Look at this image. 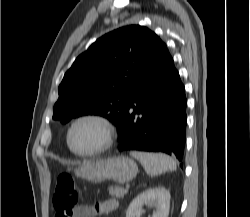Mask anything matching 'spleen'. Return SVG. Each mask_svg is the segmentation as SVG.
<instances>
[{
  "label": "spleen",
  "mask_w": 250,
  "mask_h": 217,
  "mask_svg": "<svg viewBox=\"0 0 250 217\" xmlns=\"http://www.w3.org/2000/svg\"><path fill=\"white\" fill-rule=\"evenodd\" d=\"M130 155L141 162L145 171L151 175H158L177 168L176 161L166 154L132 151Z\"/></svg>",
  "instance_id": "obj_1"
}]
</instances>
